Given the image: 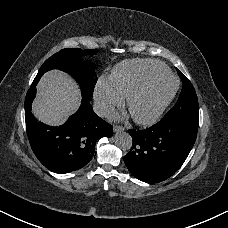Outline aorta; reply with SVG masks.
Listing matches in <instances>:
<instances>
[{
	"mask_svg": "<svg viewBox=\"0 0 228 228\" xmlns=\"http://www.w3.org/2000/svg\"><path fill=\"white\" fill-rule=\"evenodd\" d=\"M114 141L116 146L124 151L129 150L132 146V138L126 132L117 133L115 135Z\"/></svg>",
	"mask_w": 228,
	"mask_h": 228,
	"instance_id": "762f6f07",
	"label": "aorta"
}]
</instances>
